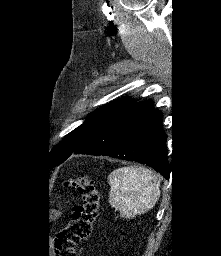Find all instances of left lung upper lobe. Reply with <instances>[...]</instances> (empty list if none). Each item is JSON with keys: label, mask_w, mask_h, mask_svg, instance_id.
<instances>
[{"label": "left lung upper lobe", "mask_w": 221, "mask_h": 256, "mask_svg": "<svg viewBox=\"0 0 221 256\" xmlns=\"http://www.w3.org/2000/svg\"><path fill=\"white\" fill-rule=\"evenodd\" d=\"M142 102H133L129 97L114 100L89 115V118L75 130L66 135L48 155L49 168L60 165L75 149L107 122L127 114Z\"/></svg>", "instance_id": "left-lung-upper-lobe-1"}]
</instances>
